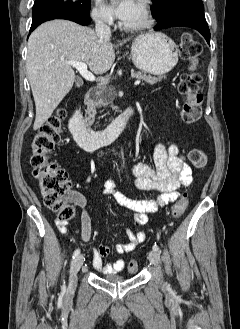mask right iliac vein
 Segmentation results:
<instances>
[{"mask_svg":"<svg viewBox=\"0 0 240 329\" xmlns=\"http://www.w3.org/2000/svg\"><path fill=\"white\" fill-rule=\"evenodd\" d=\"M84 261L83 255H78L72 262L70 268V276H69V285L68 289L70 291L74 290L77 284V273L80 270Z\"/></svg>","mask_w":240,"mask_h":329,"instance_id":"63e3f726","label":"right iliac vein"}]
</instances>
